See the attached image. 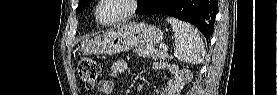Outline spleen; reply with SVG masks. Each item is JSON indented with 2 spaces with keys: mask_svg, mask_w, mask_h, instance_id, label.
Returning <instances> with one entry per match:
<instances>
[{
  "mask_svg": "<svg viewBox=\"0 0 277 95\" xmlns=\"http://www.w3.org/2000/svg\"><path fill=\"white\" fill-rule=\"evenodd\" d=\"M175 32L174 56L189 64H198L204 55V44L198 31L186 22L167 18Z\"/></svg>",
  "mask_w": 277,
  "mask_h": 95,
  "instance_id": "1",
  "label": "spleen"
}]
</instances>
